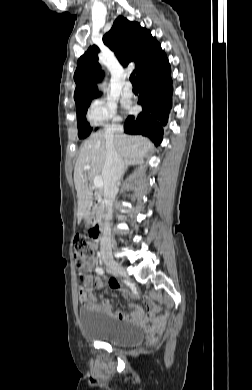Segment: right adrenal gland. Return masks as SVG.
Returning <instances> with one entry per match:
<instances>
[{"label":"right adrenal gland","mask_w":252,"mask_h":390,"mask_svg":"<svg viewBox=\"0 0 252 390\" xmlns=\"http://www.w3.org/2000/svg\"><path fill=\"white\" fill-rule=\"evenodd\" d=\"M136 164H141V160H129V161H125V164H124V170H123V174L126 172L128 166L130 165H136Z\"/></svg>","instance_id":"2a0ac1e0"}]
</instances>
